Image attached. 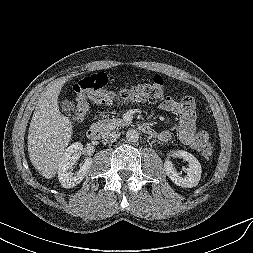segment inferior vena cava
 I'll list each match as a JSON object with an SVG mask.
<instances>
[{
  "mask_svg": "<svg viewBox=\"0 0 253 253\" xmlns=\"http://www.w3.org/2000/svg\"><path fill=\"white\" fill-rule=\"evenodd\" d=\"M120 132L118 131H112L105 133L102 138L105 142H114L120 137Z\"/></svg>",
  "mask_w": 253,
  "mask_h": 253,
  "instance_id": "1",
  "label": "inferior vena cava"
}]
</instances>
